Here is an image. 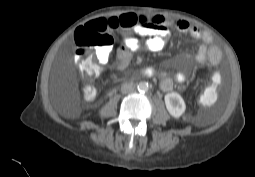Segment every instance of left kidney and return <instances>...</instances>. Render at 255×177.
Segmentation results:
<instances>
[{"instance_id": "1", "label": "left kidney", "mask_w": 255, "mask_h": 177, "mask_svg": "<svg viewBox=\"0 0 255 177\" xmlns=\"http://www.w3.org/2000/svg\"><path fill=\"white\" fill-rule=\"evenodd\" d=\"M164 99L166 108L172 117L179 118L185 112V102L178 93H168L165 95Z\"/></svg>"}]
</instances>
